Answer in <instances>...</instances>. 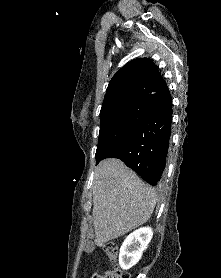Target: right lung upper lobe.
<instances>
[{"label": "right lung upper lobe", "mask_w": 221, "mask_h": 278, "mask_svg": "<svg viewBox=\"0 0 221 278\" xmlns=\"http://www.w3.org/2000/svg\"><path fill=\"white\" fill-rule=\"evenodd\" d=\"M168 87L152 60L138 58L121 68L109 82L101 114L133 102H147Z\"/></svg>", "instance_id": "cb5924a9"}]
</instances>
